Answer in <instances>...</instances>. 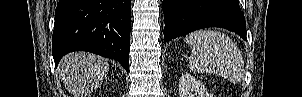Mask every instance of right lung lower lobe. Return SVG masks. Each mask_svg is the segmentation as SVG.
Listing matches in <instances>:
<instances>
[{
	"label": "right lung lower lobe",
	"instance_id": "right-lung-lower-lobe-1",
	"mask_svg": "<svg viewBox=\"0 0 302 97\" xmlns=\"http://www.w3.org/2000/svg\"><path fill=\"white\" fill-rule=\"evenodd\" d=\"M131 0H60L55 11V66L67 53L88 51L129 71Z\"/></svg>",
	"mask_w": 302,
	"mask_h": 97
}]
</instances>
